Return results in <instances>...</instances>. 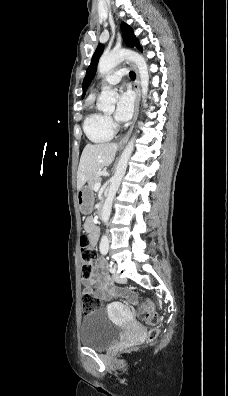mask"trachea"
Wrapping results in <instances>:
<instances>
[{
	"instance_id": "1",
	"label": "trachea",
	"mask_w": 228,
	"mask_h": 396,
	"mask_svg": "<svg viewBox=\"0 0 228 396\" xmlns=\"http://www.w3.org/2000/svg\"><path fill=\"white\" fill-rule=\"evenodd\" d=\"M129 76H130V78L132 79V80H134L135 79V77H136V74L134 73V72H130L129 73Z\"/></svg>"
}]
</instances>
